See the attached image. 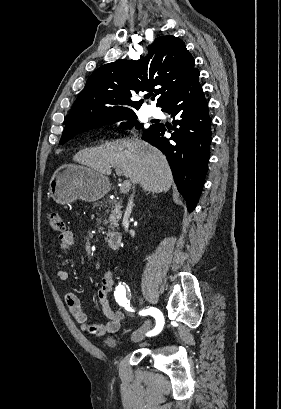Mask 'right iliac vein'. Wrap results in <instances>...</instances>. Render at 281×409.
Here are the masks:
<instances>
[{"instance_id": "obj_1", "label": "right iliac vein", "mask_w": 281, "mask_h": 409, "mask_svg": "<svg viewBox=\"0 0 281 409\" xmlns=\"http://www.w3.org/2000/svg\"><path fill=\"white\" fill-rule=\"evenodd\" d=\"M139 301H140V304H144L143 298L140 297ZM149 328H150V321L147 320L145 321L144 325L132 335V340L134 342L141 341L144 338V334L149 330Z\"/></svg>"}]
</instances>
